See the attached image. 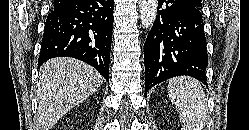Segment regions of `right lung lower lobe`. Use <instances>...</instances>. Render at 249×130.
Returning a JSON list of instances; mask_svg holds the SVG:
<instances>
[{
    "instance_id": "right-lung-lower-lobe-1",
    "label": "right lung lower lobe",
    "mask_w": 249,
    "mask_h": 130,
    "mask_svg": "<svg viewBox=\"0 0 249 130\" xmlns=\"http://www.w3.org/2000/svg\"><path fill=\"white\" fill-rule=\"evenodd\" d=\"M114 0H72L47 17L39 66L54 57L84 61L108 81Z\"/></svg>"
}]
</instances>
